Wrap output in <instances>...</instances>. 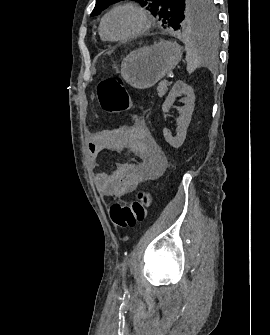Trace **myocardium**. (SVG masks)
I'll use <instances>...</instances> for the list:
<instances>
[{
    "instance_id": "myocardium-1",
    "label": "myocardium",
    "mask_w": 270,
    "mask_h": 335,
    "mask_svg": "<svg viewBox=\"0 0 270 335\" xmlns=\"http://www.w3.org/2000/svg\"><path fill=\"white\" fill-rule=\"evenodd\" d=\"M123 8H129V9H132L135 12H137L140 15V17L142 18V25L138 30H136L132 33L126 34V35L121 36V37H112L108 34V32L106 30V21H107L108 17L110 16V14H112L113 12H115L119 9H123ZM151 25H152V17L149 15V13L141 5H139L137 3H133V2H126V3H122V4H119L115 7H113L111 10H109L104 15V17L102 18L101 23H100V29H101V32L103 33V35L109 40H112V41H126V40L133 39L135 37H138V36L146 33L151 28ZM133 52H140V50H135ZM126 78H131V77H126Z\"/></svg>"
}]
</instances>
